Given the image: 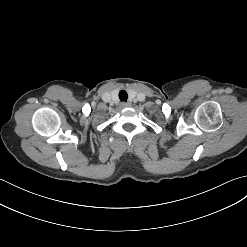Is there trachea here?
<instances>
[{"instance_id": "trachea-1", "label": "trachea", "mask_w": 247, "mask_h": 247, "mask_svg": "<svg viewBox=\"0 0 247 247\" xmlns=\"http://www.w3.org/2000/svg\"><path fill=\"white\" fill-rule=\"evenodd\" d=\"M119 99H120L121 101H124V102L127 101V99H128V94H127V92H126L125 90H121V91L119 92Z\"/></svg>"}]
</instances>
